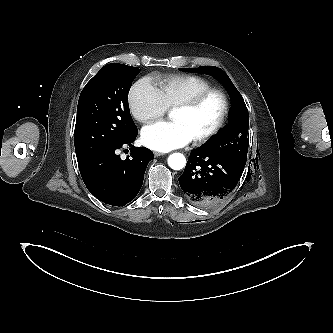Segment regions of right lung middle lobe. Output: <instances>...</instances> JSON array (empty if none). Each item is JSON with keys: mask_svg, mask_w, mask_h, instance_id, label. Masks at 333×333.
Masks as SVG:
<instances>
[{"mask_svg": "<svg viewBox=\"0 0 333 333\" xmlns=\"http://www.w3.org/2000/svg\"><path fill=\"white\" fill-rule=\"evenodd\" d=\"M139 68L119 63L102 67L82 90L77 107L74 145L77 161L129 138L137 131L128 93Z\"/></svg>", "mask_w": 333, "mask_h": 333, "instance_id": "right-lung-middle-lobe-1", "label": "right lung middle lobe"}]
</instances>
